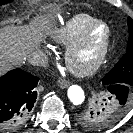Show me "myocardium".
<instances>
[{
	"instance_id": "obj_1",
	"label": "myocardium",
	"mask_w": 133,
	"mask_h": 133,
	"mask_svg": "<svg viewBox=\"0 0 133 133\" xmlns=\"http://www.w3.org/2000/svg\"><path fill=\"white\" fill-rule=\"evenodd\" d=\"M102 25L105 28V35L102 42V45L94 57V59L88 63L87 65H79L75 61V57L79 50L84 46L88 35L90 34L91 30L97 26ZM111 43V28L110 26L103 20L94 19L91 21L82 31L81 33L67 46L65 50V64L67 68L76 76L79 77H88L95 74L100 67L105 62L109 48Z\"/></svg>"
}]
</instances>
